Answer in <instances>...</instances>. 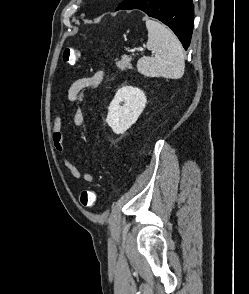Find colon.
I'll list each match as a JSON object with an SVG mask.
<instances>
[{"instance_id":"obj_1","label":"colon","mask_w":249,"mask_h":294,"mask_svg":"<svg viewBox=\"0 0 249 294\" xmlns=\"http://www.w3.org/2000/svg\"><path fill=\"white\" fill-rule=\"evenodd\" d=\"M81 56V52L76 47H66L63 51V60L70 65L76 64ZM97 199V194L93 190H83L80 194V203L84 207H92Z\"/></svg>"}]
</instances>
